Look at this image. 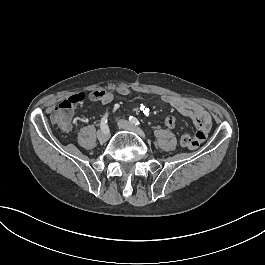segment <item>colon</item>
Wrapping results in <instances>:
<instances>
[{
    "instance_id": "obj_1",
    "label": "colon",
    "mask_w": 265,
    "mask_h": 265,
    "mask_svg": "<svg viewBox=\"0 0 265 265\" xmlns=\"http://www.w3.org/2000/svg\"><path fill=\"white\" fill-rule=\"evenodd\" d=\"M85 95L82 93H79L74 96L69 97L68 102H64L63 104L59 105L53 115H52V121L55 124H58L62 127H68L70 116L68 115V112L66 110H69L73 107L74 104H76L77 101L82 102L85 100ZM87 99L91 102H103L107 99V96L104 92L101 91H92L88 94ZM211 126V125H210ZM181 143L185 146L190 148L191 146V140L190 135H183L181 137Z\"/></svg>"
}]
</instances>
